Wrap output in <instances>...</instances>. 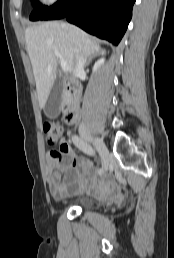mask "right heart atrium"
Returning <instances> with one entry per match:
<instances>
[{
  "label": "right heart atrium",
  "instance_id": "obj_1",
  "mask_svg": "<svg viewBox=\"0 0 174 258\" xmlns=\"http://www.w3.org/2000/svg\"><path fill=\"white\" fill-rule=\"evenodd\" d=\"M43 4L45 5H51L55 3L57 0H41Z\"/></svg>",
  "mask_w": 174,
  "mask_h": 258
}]
</instances>
